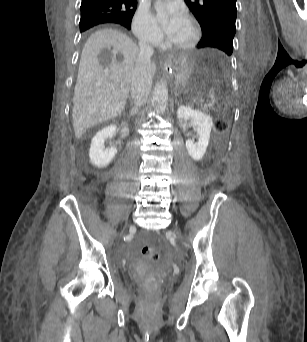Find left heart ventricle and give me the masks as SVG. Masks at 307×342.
Wrapping results in <instances>:
<instances>
[{
  "mask_svg": "<svg viewBox=\"0 0 307 342\" xmlns=\"http://www.w3.org/2000/svg\"><path fill=\"white\" fill-rule=\"evenodd\" d=\"M189 37H190V32L188 29V31L185 33V35L180 40H178L177 42L172 44V47L180 48V47L184 46L188 42Z\"/></svg>",
  "mask_w": 307,
  "mask_h": 342,
  "instance_id": "left-heart-ventricle-1",
  "label": "left heart ventricle"
}]
</instances>
